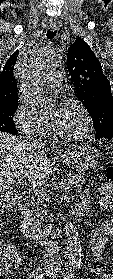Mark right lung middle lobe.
<instances>
[{
    "label": "right lung middle lobe",
    "instance_id": "obj_1",
    "mask_svg": "<svg viewBox=\"0 0 113 279\" xmlns=\"http://www.w3.org/2000/svg\"><path fill=\"white\" fill-rule=\"evenodd\" d=\"M17 105L0 109V132H6L13 135L17 134L13 116Z\"/></svg>",
    "mask_w": 113,
    "mask_h": 279
}]
</instances>
